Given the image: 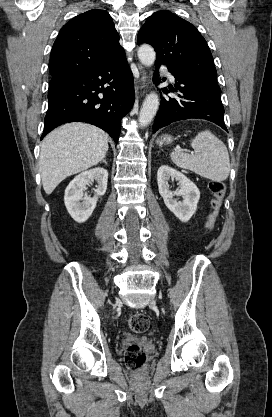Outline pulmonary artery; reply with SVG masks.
Segmentation results:
<instances>
[{"instance_id": "e3ab8cb5", "label": "pulmonary artery", "mask_w": 272, "mask_h": 417, "mask_svg": "<svg viewBox=\"0 0 272 417\" xmlns=\"http://www.w3.org/2000/svg\"><path fill=\"white\" fill-rule=\"evenodd\" d=\"M167 75H168V77L172 80V81H174L175 79H174V77H173V75L171 74V73H167Z\"/></svg>"}]
</instances>
